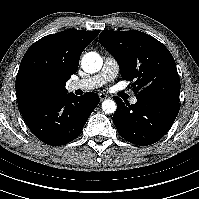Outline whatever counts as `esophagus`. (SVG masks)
Returning a JSON list of instances; mask_svg holds the SVG:
<instances>
[{"mask_svg": "<svg viewBox=\"0 0 199 199\" xmlns=\"http://www.w3.org/2000/svg\"><path fill=\"white\" fill-rule=\"evenodd\" d=\"M99 95V98H100V100L102 101V100H105V99H107L109 96L107 95V94H105V93H99L98 94Z\"/></svg>", "mask_w": 199, "mask_h": 199, "instance_id": "34e87169", "label": "esophagus"}]
</instances>
